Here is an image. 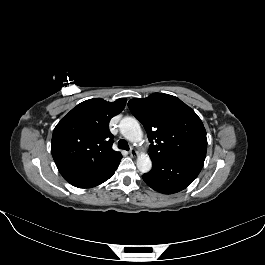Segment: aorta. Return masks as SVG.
<instances>
[{"label":"aorta","instance_id":"aorta-1","mask_svg":"<svg viewBox=\"0 0 265 265\" xmlns=\"http://www.w3.org/2000/svg\"><path fill=\"white\" fill-rule=\"evenodd\" d=\"M120 133L130 142H140L143 138L142 129L138 121L132 117H125L119 124ZM137 168L141 173H147L152 168V162L148 154L141 153L137 157Z\"/></svg>","mask_w":265,"mask_h":265}]
</instances>
